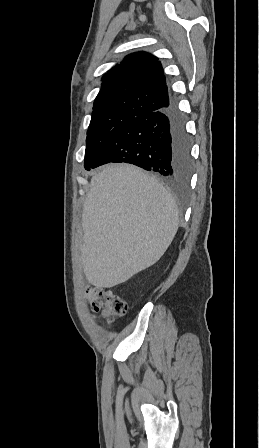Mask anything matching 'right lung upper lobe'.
Instances as JSON below:
<instances>
[{
  "label": "right lung upper lobe",
  "mask_w": 259,
  "mask_h": 448,
  "mask_svg": "<svg viewBox=\"0 0 259 448\" xmlns=\"http://www.w3.org/2000/svg\"><path fill=\"white\" fill-rule=\"evenodd\" d=\"M93 113L154 112L170 102L161 62L148 52L129 54L102 77Z\"/></svg>",
  "instance_id": "right-lung-upper-lobe-1"
}]
</instances>
